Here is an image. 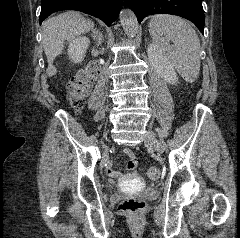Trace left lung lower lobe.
Instances as JSON below:
<instances>
[{
	"label": "left lung lower lobe",
	"mask_w": 240,
	"mask_h": 238,
	"mask_svg": "<svg viewBox=\"0 0 240 238\" xmlns=\"http://www.w3.org/2000/svg\"><path fill=\"white\" fill-rule=\"evenodd\" d=\"M135 13L138 22L153 14H171L192 21L204 32V11L202 0H125Z\"/></svg>",
	"instance_id": "0a47b994"
}]
</instances>
